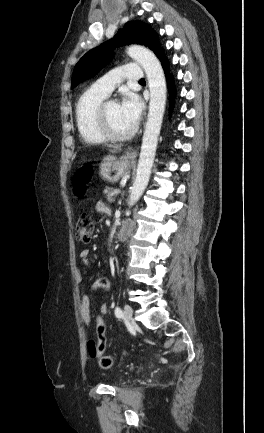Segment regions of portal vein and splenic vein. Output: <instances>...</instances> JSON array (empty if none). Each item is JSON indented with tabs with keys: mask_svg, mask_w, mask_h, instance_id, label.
Here are the masks:
<instances>
[{
	"mask_svg": "<svg viewBox=\"0 0 264 433\" xmlns=\"http://www.w3.org/2000/svg\"><path fill=\"white\" fill-rule=\"evenodd\" d=\"M113 193H114L115 195H118V194L120 193V190H119V189H115Z\"/></svg>",
	"mask_w": 264,
	"mask_h": 433,
	"instance_id": "obj_1",
	"label": "portal vein and splenic vein"
}]
</instances>
